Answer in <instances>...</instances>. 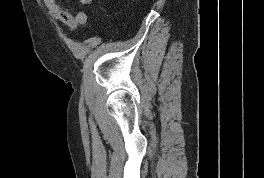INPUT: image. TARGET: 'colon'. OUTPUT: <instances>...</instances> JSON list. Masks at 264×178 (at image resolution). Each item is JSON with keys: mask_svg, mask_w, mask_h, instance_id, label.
<instances>
[{"mask_svg": "<svg viewBox=\"0 0 264 178\" xmlns=\"http://www.w3.org/2000/svg\"><path fill=\"white\" fill-rule=\"evenodd\" d=\"M91 4H92V0H79V5L84 9L90 8Z\"/></svg>", "mask_w": 264, "mask_h": 178, "instance_id": "colon-1", "label": "colon"}]
</instances>
